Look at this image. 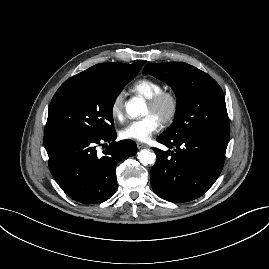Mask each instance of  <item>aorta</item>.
<instances>
[{"label":"aorta","instance_id":"1","mask_svg":"<svg viewBox=\"0 0 269 269\" xmlns=\"http://www.w3.org/2000/svg\"><path fill=\"white\" fill-rule=\"evenodd\" d=\"M126 112L132 118H140L146 115L147 107L145 100L140 97H134L126 103ZM138 160L142 165H153L156 161L154 152L142 149L138 152Z\"/></svg>","mask_w":269,"mask_h":269}]
</instances>
